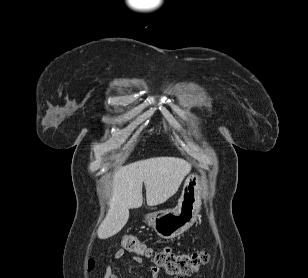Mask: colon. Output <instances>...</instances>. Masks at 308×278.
Listing matches in <instances>:
<instances>
[{"label": "colon", "mask_w": 308, "mask_h": 278, "mask_svg": "<svg viewBox=\"0 0 308 278\" xmlns=\"http://www.w3.org/2000/svg\"><path fill=\"white\" fill-rule=\"evenodd\" d=\"M125 250L137 256H144L151 259L156 270H164L168 274L184 276L192 274L205 265L209 256L205 252L195 253H173L164 251H153L133 235H125L121 239ZM89 269L94 267L93 259L88 261Z\"/></svg>", "instance_id": "colon-1"}]
</instances>
